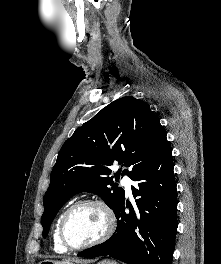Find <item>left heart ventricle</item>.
<instances>
[{
	"mask_svg": "<svg viewBox=\"0 0 221 264\" xmlns=\"http://www.w3.org/2000/svg\"><path fill=\"white\" fill-rule=\"evenodd\" d=\"M106 220L96 206L84 205L74 209L67 218L65 233L72 245H83L99 238L105 231Z\"/></svg>",
	"mask_w": 221,
	"mask_h": 264,
	"instance_id": "obj_1",
	"label": "left heart ventricle"
}]
</instances>
